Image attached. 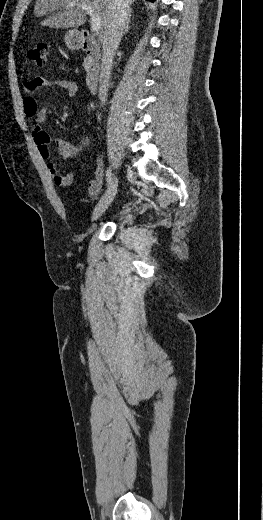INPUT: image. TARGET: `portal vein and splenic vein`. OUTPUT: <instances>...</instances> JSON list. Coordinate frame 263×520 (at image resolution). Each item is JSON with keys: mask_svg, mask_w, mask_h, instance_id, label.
<instances>
[{"mask_svg": "<svg viewBox=\"0 0 263 520\" xmlns=\"http://www.w3.org/2000/svg\"><path fill=\"white\" fill-rule=\"evenodd\" d=\"M76 6V3L72 2L69 3V7ZM82 8L91 16V27L93 32H98L101 27V20L100 18L94 13V10L87 5H82Z\"/></svg>", "mask_w": 263, "mask_h": 520, "instance_id": "1", "label": "portal vein and splenic vein"}]
</instances>
